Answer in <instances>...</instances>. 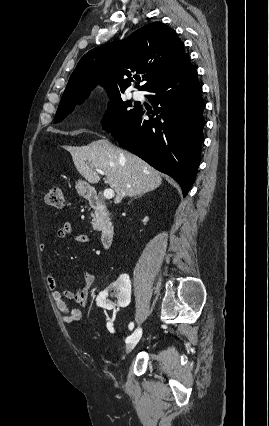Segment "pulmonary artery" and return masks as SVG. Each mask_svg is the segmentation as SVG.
<instances>
[{
  "label": "pulmonary artery",
  "mask_w": 269,
  "mask_h": 426,
  "mask_svg": "<svg viewBox=\"0 0 269 426\" xmlns=\"http://www.w3.org/2000/svg\"><path fill=\"white\" fill-rule=\"evenodd\" d=\"M141 96H142V94L139 91H136V92L133 93L134 98H140Z\"/></svg>",
  "instance_id": "e3ab8cb5"
}]
</instances>
